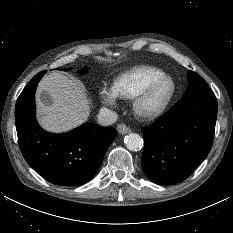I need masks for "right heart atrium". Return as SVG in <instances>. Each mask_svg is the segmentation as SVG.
<instances>
[{
    "label": "right heart atrium",
    "instance_id": "d8ad5b80",
    "mask_svg": "<svg viewBox=\"0 0 233 233\" xmlns=\"http://www.w3.org/2000/svg\"><path fill=\"white\" fill-rule=\"evenodd\" d=\"M99 98L101 102L105 105L115 107L118 103L119 96L116 93L114 87L102 86L99 89Z\"/></svg>",
    "mask_w": 233,
    "mask_h": 233
}]
</instances>
